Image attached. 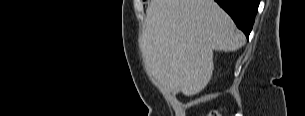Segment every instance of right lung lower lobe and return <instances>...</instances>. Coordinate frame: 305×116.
Returning a JSON list of instances; mask_svg holds the SVG:
<instances>
[{
    "label": "right lung lower lobe",
    "instance_id": "1",
    "mask_svg": "<svg viewBox=\"0 0 305 116\" xmlns=\"http://www.w3.org/2000/svg\"><path fill=\"white\" fill-rule=\"evenodd\" d=\"M234 20L246 37L252 30L259 0H215Z\"/></svg>",
    "mask_w": 305,
    "mask_h": 116
}]
</instances>
